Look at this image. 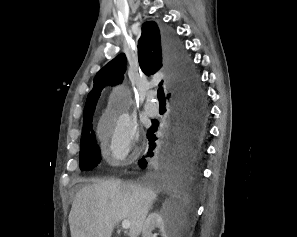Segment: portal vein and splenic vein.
<instances>
[{
    "label": "portal vein and splenic vein",
    "instance_id": "portal-vein-and-splenic-vein-1",
    "mask_svg": "<svg viewBox=\"0 0 297 237\" xmlns=\"http://www.w3.org/2000/svg\"><path fill=\"white\" fill-rule=\"evenodd\" d=\"M130 225H131V222L129 220H124V221H122L121 226H122L123 229H129Z\"/></svg>",
    "mask_w": 297,
    "mask_h": 237
}]
</instances>
